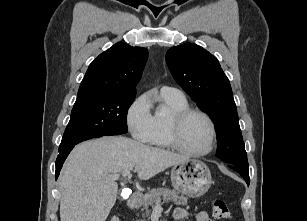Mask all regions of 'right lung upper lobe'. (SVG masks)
Listing matches in <instances>:
<instances>
[{"mask_svg": "<svg viewBox=\"0 0 307 221\" xmlns=\"http://www.w3.org/2000/svg\"><path fill=\"white\" fill-rule=\"evenodd\" d=\"M148 58L143 47L118 42L89 65L78 90L77 101L107 94L136 93Z\"/></svg>", "mask_w": 307, "mask_h": 221, "instance_id": "cb5924a9", "label": "right lung upper lobe"}]
</instances>
